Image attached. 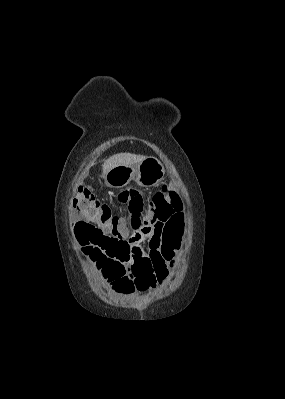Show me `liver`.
I'll list each match as a JSON object with an SVG mask.
<instances>
[{
    "label": "liver",
    "mask_w": 285,
    "mask_h": 399,
    "mask_svg": "<svg viewBox=\"0 0 285 399\" xmlns=\"http://www.w3.org/2000/svg\"><path fill=\"white\" fill-rule=\"evenodd\" d=\"M145 158L146 157L143 155L131 153L115 154L104 161V164L102 165L103 175L119 165H139Z\"/></svg>",
    "instance_id": "1"
}]
</instances>
